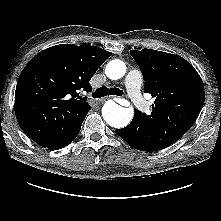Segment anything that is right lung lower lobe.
Returning <instances> with one entry per match:
<instances>
[{"label": "right lung lower lobe", "mask_w": 221, "mask_h": 221, "mask_svg": "<svg viewBox=\"0 0 221 221\" xmlns=\"http://www.w3.org/2000/svg\"><path fill=\"white\" fill-rule=\"evenodd\" d=\"M81 125L74 132H72L68 137H66L65 139L59 141L58 143H56L50 147H47V148L50 150H58V149L64 148L67 145H69L79 134L80 129H81Z\"/></svg>", "instance_id": "1"}]
</instances>
